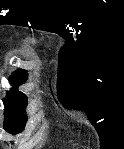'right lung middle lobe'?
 <instances>
[{
  "instance_id": "obj_1",
  "label": "right lung middle lobe",
  "mask_w": 124,
  "mask_h": 149,
  "mask_svg": "<svg viewBox=\"0 0 124 149\" xmlns=\"http://www.w3.org/2000/svg\"><path fill=\"white\" fill-rule=\"evenodd\" d=\"M5 120L4 128L11 134L21 132L27 122L25 107L27 105V97L17 90L7 92L4 98Z\"/></svg>"
}]
</instances>
